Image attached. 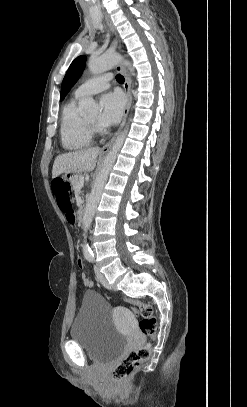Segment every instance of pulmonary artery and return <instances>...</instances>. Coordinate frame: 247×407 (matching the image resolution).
<instances>
[{"instance_id":"1","label":"pulmonary artery","mask_w":247,"mask_h":407,"mask_svg":"<svg viewBox=\"0 0 247 407\" xmlns=\"http://www.w3.org/2000/svg\"><path fill=\"white\" fill-rule=\"evenodd\" d=\"M112 77L109 74L91 78L82 83L75 91V97L84 98L101 91L106 90L110 86Z\"/></svg>"}]
</instances>
